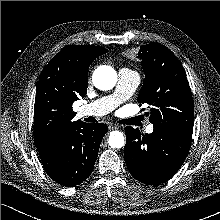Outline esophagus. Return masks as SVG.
Instances as JSON below:
<instances>
[{"mask_svg": "<svg viewBox=\"0 0 220 220\" xmlns=\"http://www.w3.org/2000/svg\"><path fill=\"white\" fill-rule=\"evenodd\" d=\"M108 128H109V130H114V129H117V128H118V125H117V124H114V123H110V124L108 125Z\"/></svg>", "mask_w": 220, "mask_h": 220, "instance_id": "34e87169", "label": "esophagus"}]
</instances>
